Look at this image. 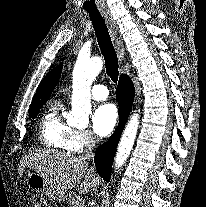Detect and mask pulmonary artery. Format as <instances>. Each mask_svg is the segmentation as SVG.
Here are the masks:
<instances>
[{"label": "pulmonary artery", "instance_id": "obj_1", "mask_svg": "<svg viewBox=\"0 0 206 207\" xmlns=\"http://www.w3.org/2000/svg\"><path fill=\"white\" fill-rule=\"evenodd\" d=\"M91 94L96 100H105L109 95V91L104 85H94L91 89Z\"/></svg>", "mask_w": 206, "mask_h": 207}]
</instances>
